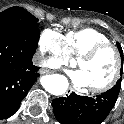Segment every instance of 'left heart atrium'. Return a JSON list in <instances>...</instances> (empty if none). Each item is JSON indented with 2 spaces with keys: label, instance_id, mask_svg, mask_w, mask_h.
I'll return each mask as SVG.
<instances>
[{
  "label": "left heart atrium",
  "instance_id": "39dd6f15",
  "mask_svg": "<svg viewBox=\"0 0 124 124\" xmlns=\"http://www.w3.org/2000/svg\"><path fill=\"white\" fill-rule=\"evenodd\" d=\"M72 82L78 87H88L85 75L82 71L78 70L70 75Z\"/></svg>",
  "mask_w": 124,
  "mask_h": 124
}]
</instances>
